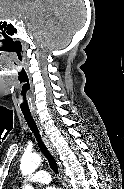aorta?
Here are the masks:
<instances>
[{
    "label": "aorta",
    "instance_id": "1",
    "mask_svg": "<svg viewBox=\"0 0 124 189\" xmlns=\"http://www.w3.org/2000/svg\"><path fill=\"white\" fill-rule=\"evenodd\" d=\"M41 157L38 154L26 153L21 159L20 169L23 175L32 174L40 165ZM24 189H33L30 185H25Z\"/></svg>",
    "mask_w": 124,
    "mask_h": 189
}]
</instances>
